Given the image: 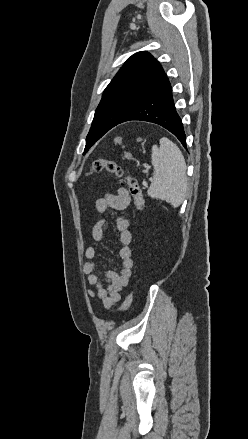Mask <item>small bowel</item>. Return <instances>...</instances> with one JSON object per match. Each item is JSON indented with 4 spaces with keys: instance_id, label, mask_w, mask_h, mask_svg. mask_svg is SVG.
Segmentation results:
<instances>
[{
    "instance_id": "c3829d8e",
    "label": "small bowel",
    "mask_w": 248,
    "mask_h": 439,
    "mask_svg": "<svg viewBox=\"0 0 248 439\" xmlns=\"http://www.w3.org/2000/svg\"><path fill=\"white\" fill-rule=\"evenodd\" d=\"M130 200L129 192L125 188H119L115 194L107 193L98 198L95 208L99 213H107L109 210L122 211L128 207ZM105 224V219L94 224L92 228L94 241L99 242L103 239ZM115 226L123 245L119 250L121 270L108 271L104 274L97 272V249L93 246L86 249L85 257L88 261L83 266L87 283L95 288L88 291L89 295L101 300L106 309H111L121 300V291L129 284L133 268L132 252L128 246L132 241L129 219L125 215H119L115 218Z\"/></svg>"
}]
</instances>
